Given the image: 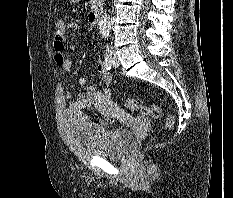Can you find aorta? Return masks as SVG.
I'll return each mask as SVG.
<instances>
[{
    "mask_svg": "<svg viewBox=\"0 0 233 198\" xmlns=\"http://www.w3.org/2000/svg\"><path fill=\"white\" fill-rule=\"evenodd\" d=\"M110 28H111L110 16L105 13L99 22V31L103 38L109 37Z\"/></svg>",
    "mask_w": 233,
    "mask_h": 198,
    "instance_id": "aorta-1",
    "label": "aorta"
}]
</instances>
